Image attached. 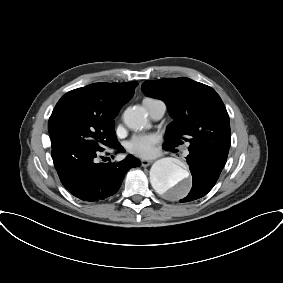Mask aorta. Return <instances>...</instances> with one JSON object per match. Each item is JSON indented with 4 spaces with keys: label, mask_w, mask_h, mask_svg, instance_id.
Listing matches in <instances>:
<instances>
[{
    "label": "aorta",
    "mask_w": 283,
    "mask_h": 283,
    "mask_svg": "<svg viewBox=\"0 0 283 283\" xmlns=\"http://www.w3.org/2000/svg\"><path fill=\"white\" fill-rule=\"evenodd\" d=\"M124 123L133 130L146 126L147 118L142 108H128L123 114ZM152 187L160 194L184 197L189 191V173L172 158L157 160L150 170Z\"/></svg>",
    "instance_id": "obj_1"
}]
</instances>
